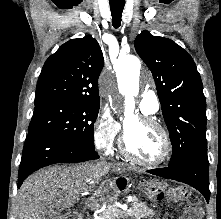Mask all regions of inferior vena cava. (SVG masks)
<instances>
[{"instance_id":"obj_1","label":"inferior vena cava","mask_w":221,"mask_h":219,"mask_svg":"<svg viewBox=\"0 0 221 219\" xmlns=\"http://www.w3.org/2000/svg\"><path fill=\"white\" fill-rule=\"evenodd\" d=\"M102 163H104V164H108L107 162H105V161H102Z\"/></svg>"}]
</instances>
